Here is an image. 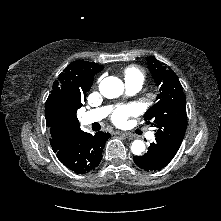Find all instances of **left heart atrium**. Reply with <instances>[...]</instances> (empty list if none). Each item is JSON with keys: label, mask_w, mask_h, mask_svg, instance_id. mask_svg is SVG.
<instances>
[{"label": "left heart atrium", "mask_w": 221, "mask_h": 221, "mask_svg": "<svg viewBox=\"0 0 221 221\" xmlns=\"http://www.w3.org/2000/svg\"><path fill=\"white\" fill-rule=\"evenodd\" d=\"M137 107L135 105H129L119 108L112 116V120L116 125H123L127 118L136 114Z\"/></svg>", "instance_id": "1"}]
</instances>
